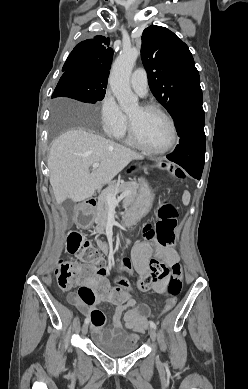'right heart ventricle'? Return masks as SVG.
Returning a JSON list of instances; mask_svg holds the SVG:
<instances>
[{
    "label": "right heart ventricle",
    "mask_w": 248,
    "mask_h": 389,
    "mask_svg": "<svg viewBox=\"0 0 248 389\" xmlns=\"http://www.w3.org/2000/svg\"><path fill=\"white\" fill-rule=\"evenodd\" d=\"M118 139L122 140L123 142H125L126 144L130 145V146H136L133 141L131 140L130 136H129V132H128V127L127 125L125 126V128L123 129V131L118 135L116 136Z\"/></svg>",
    "instance_id": "e07e8e85"
}]
</instances>
